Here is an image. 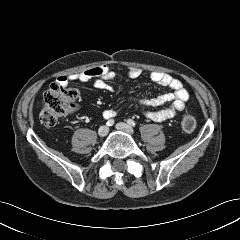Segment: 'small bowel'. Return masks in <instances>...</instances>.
Instances as JSON below:
<instances>
[{
	"mask_svg": "<svg viewBox=\"0 0 240 240\" xmlns=\"http://www.w3.org/2000/svg\"><path fill=\"white\" fill-rule=\"evenodd\" d=\"M141 74L138 68H129L128 75L131 78H137ZM115 78L114 71L108 65H98L87 68L81 72L69 75H63L57 78L56 83L61 86H67L70 82H93L94 86L101 90L113 91L111 82ZM152 84L166 87L170 92L164 93L154 98H145L138 101V104L144 107V115L157 122L165 121L175 117L185 108L189 94L183 87L180 80L172 77L170 74L154 71L150 74ZM167 106L163 107L164 105ZM115 115L112 109L106 110L104 116L111 118Z\"/></svg>",
	"mask_w": 240,
	"mask_h": 240,
	"instance_id": "c3829d8e",
	"label": "small bowel"
}]
</instances>
